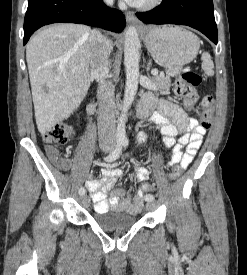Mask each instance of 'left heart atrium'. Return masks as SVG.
I'll use <instances>...</instances> for the list:
<instances>
[{
    "label": "left heart atrium",
    "instance_id": "1",
    "mask_svg": "<svg viewBox=\"0 0 247 275\" xmlns=\"http://www.w3.org/2000/svg\"><path fill=\"white\" fill-rule=\"evenodd\" d=\"M125 1L131 5H137L141 2V0H125Z\"/></svg>",
    "mask_w": 247,
    "mask_h": 275
}]
</instances>
